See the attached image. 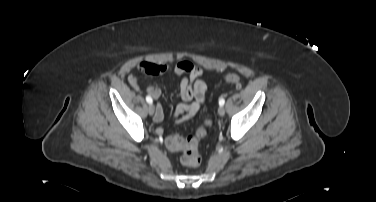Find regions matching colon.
I'll use <instances>...</instances> for the list:
<instances>
[{
	"label": "colon",
	"instance_id": "1",
	"mask_svg": "<svg viewBox=\"0 0 376 202\" xmlns=\"http://www.w3.org/2000/svg\"><path fill=\"white\" fill-rule=\"evenodd\" d=\"M225 80L236 87L242 86V78L235 73L225 76ZM209 121H205L195 132L188 136L180 134H171L166 137L165 145L171 151H181V162L188 167H197L201 164V155L199 152V138L204 136Z\"/></svg>",
	"mask_w": 376,
	"mask_h": 202
}]
</instances>
